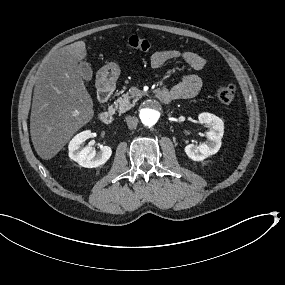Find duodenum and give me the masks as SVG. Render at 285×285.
I'll return each instance as SVG.
<instances>
[{
  "label": "duodenum",
  "instance_id": "1",
  "mask_svg": "<svg viewBox=\"0 0 285 285\" xmlns=\"http://www.w3.org/2000/svg\"><path fill=\"white\" fill-rule=\"evenodd\" d=\"M113 85L110 81L103 80L99 83L98 87V98L101 103L105 104L109 100V97L112 93ZM158 98L164 102L168 103L173 100L172 93L167 89H161L157 92ZM113 109L111 107H105L99 113V119L105 123L109 124L113 119Z\"/></svg>",
  "mask_w": 285,
  "mask_h": 285
}]
</instances>
